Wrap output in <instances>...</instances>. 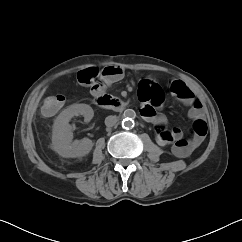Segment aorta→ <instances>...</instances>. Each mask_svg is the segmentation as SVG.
I'll return each instance as SVG.
<instances>
[{
  "label": "aorta",
  "mask_w": 242,
  "mask_h": 242,
  "mask_svg": "<svg viewBox=\"0 0 242 242\" xmlns=\"http://www.w3.org/2000/svg\"><path fill=\"white\" fill-rule=\"evenodd\" d=\"M124 119L122 121V127L124 129H131L134 127V119L136 117V112L133 109H126L123 113Z\"/></svg>",
  "instance_id": "aorta-1"
}]
</instances>
